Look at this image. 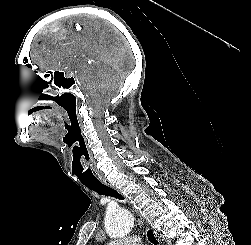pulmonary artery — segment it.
I'll return each mask as SVG.
<instances>
[{
	"mask_svg": "<svg viewBox=\"0 0 251 245\" xmlns=\"http://www.w3.org/2000/svg\"><path fill=\"white\" fill-rule=\"evenodd\" d=\"M141 238L138 236H131L124 240H116L108 243L107 245H141Z\"/></svg>",
	"mask_w": 251,
	"mask_h": 245,
	"instance_id": "obj_1",
	"label": "pulmonary artery"
}]
</instances>
